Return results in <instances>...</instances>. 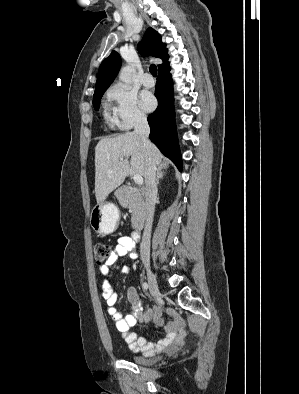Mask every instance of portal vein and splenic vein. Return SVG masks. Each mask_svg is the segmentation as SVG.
<instances>
[{
    "mask_svg": "<svg viewBox=\"0 0 299 394\" xmlns=\"http://www.w3.org/2000/svg\"><path fill=\"white\" fill-rule=\"evenodd\" d=\"M121 160H123V159H121ZM133 179H134L135 183H137L138 185H142L143 184V178H142V176L140 174H135L133 176Z\"/></svg>",
    "mask_w": 299,
    "mask_h": 394,
    "instance_id": "obj_1",
    "label": "portal vein and splenic vein"
}]
</instances>
